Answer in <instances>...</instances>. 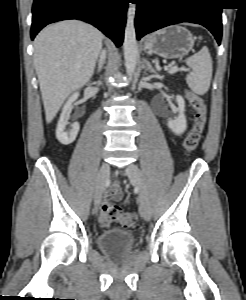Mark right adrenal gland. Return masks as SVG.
Returning <instances> with one entry per match:
<instances>
[{
    "label": "right adrenal gland",
    "instance_id": "right-adrenal-gland-1",
    "mask_svg": "<svg viewBox=\"0 0 246 300\" xmlns=\"http://www.w3.org/2000/svg\"><path fill=\"white\" fill-rule=\"evenodd\" d=\"M101 68H102V65H101V67L97 70L96 73H99V72L101 71Z\"/></svg>",
    "mask_w": 246,
    "mask_h": 300
}]
</instances>
